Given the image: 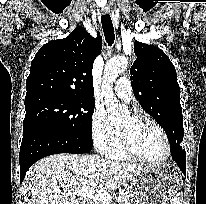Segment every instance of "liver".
Segmentation results:
<instances>
[{
    "mask_svg": "<svg viewBox=\"0 0 206 204\" xmlns=\"http://www.w3.org/2000/svg\"><path fill=\"white\" fill-rule=\"evenodd\" d=\"M142 168L96 155H51L27 171L22 184L24 204H80L77 195L69 193L82 187L115 190L131 182Z\"/></svg>",
    "mask_w": 206,
    "mask_h": 204,
    "instance_id": "6515ba94",
    "label": "liver"
}]
</instances>
